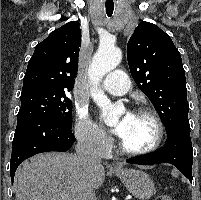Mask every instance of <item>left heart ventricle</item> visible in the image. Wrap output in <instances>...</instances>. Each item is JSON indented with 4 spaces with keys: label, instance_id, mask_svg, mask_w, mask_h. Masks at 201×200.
<instances>
[{
    "label": "left heart ventricle",
    "instance_id": "obj_1",
    "mask_svg": "<svg viewBox=\"0 0 201 200\" xmlns=\"http://www.w3.org/2000/svg\"><path fill=\"white\" fill-rule=\"evenodd\" d=\"M116 124L123 125L120 137L131 149L147 148L157 137L155 123L145 115L123 114L117 119Z\"/></svg>",
    "mask_w": 201,
    "mask_h": 200
}]
</instances>
